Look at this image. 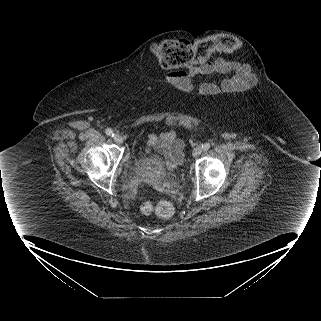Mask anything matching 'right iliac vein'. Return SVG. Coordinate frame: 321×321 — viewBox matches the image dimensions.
<instances>
[{"label":"right iliac vein","mask_w":321,"mask_h":321,"mask_svg":"<svg viewBox=\"0 0 321 321\" xmlns=\"http://www.w3.org/2000/svg\"><path fill=\"white\" fill-rule=\"evenodd\" d=\"M114 141L119 145L123 143V139L119 134L114 135Z\"/></svg>","instance_id":"obj_1"}]
</instances>
